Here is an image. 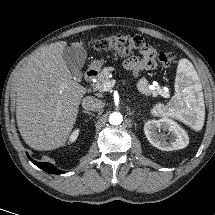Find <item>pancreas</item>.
Segmentation results:
<instances>
[{"label":"pancreas","mask_w":215,"mask_h":215,"mask_svg":"<svg viewBox=\"0 0 215 215\" xmlns=\"http://www.w3.org/2000/svg\"><path fill=\"white\" fill-rule=\"evenodd\" d=\"M114 70H115L114 67H105L101 71V73L97 79L95 88L102 91L103 83L110 81V76ZM137 88H138L139 92H141L142 94H145L147 96H150V95L156 96L158 93V91L153 90L149 87L148 81L145 78H142L138 81Z\"/></svg>","instance_id":"1"}]
</instances>
